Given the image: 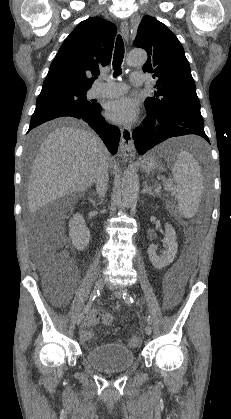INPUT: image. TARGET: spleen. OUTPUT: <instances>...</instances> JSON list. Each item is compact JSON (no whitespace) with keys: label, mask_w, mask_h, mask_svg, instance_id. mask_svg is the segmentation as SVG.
Listing matches in <instances>:
<instances>
[{"label":"spleen","mask_w":231,"mask_h":419,"mask_svg":"<svg viewBox=\"0 0 231 419\" xmlns=\"http://www.w3.org/2000/svg\"><path fill=\"white\" fill-rule=\"evenodd\" d=\"M172 174L177 184L175 198L178 201V209L184 217L191 218L198 210L203 192L201 168L191 153L181 150L177 152Z\"/></svg>","instance_id":"obj_1"}]
</instances>
